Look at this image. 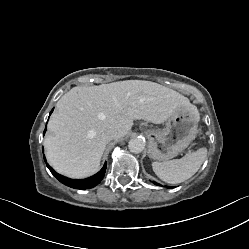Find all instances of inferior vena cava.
Masks as SVG:
<instances>
[{
	"instance_id": "inferior-vena-cava-1",
	"label": "inferior vena cava",
	"mask_w": 249,
	"mask_h": 249,
	"mask_svg": "<svg viewBox=\"0 0 249 249\" xmlns=\"http://www.w3.org/2000/svg\"><path fill=\"white\" fill-rule=\"evenodd\" d=\"M103 137L110 141L118 138L119 134L114 129H107L103 132Z\"/></svg>"
}]
</instances>
